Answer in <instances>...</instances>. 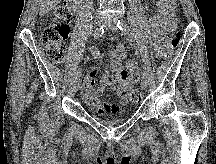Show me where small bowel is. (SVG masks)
<instances>
[{
  "label": "small bowel",
  "instance_id": "small-bowel-1",
  "mask_svg": "<svg viewBox=\"0 0 216 164\" xmlns=\"http://www.w3.org/2000/svg\"><path fill=\"white\" fill-rule=\"evenodd\" d=\"M156 15L152 19V26L155 37V53L158 57L162 55L166 33L175 21V0H156ZM93 58L100 57L96 47L90 48ZM127 57L124 46L120 43L110 54V69L112 71V91L120 96L118 103L102 102L100 98L109 85L108 76L105 75L100 85L93 89L94 73H90L80 83L82 99L91 111L102 115L117 114L124 111L129 102L127 92L134 86L139 75V66L135 59H128L126 66L122 61Z\"/></svg>",
  "mask_w": 216,
  "mask_h": 164
}]
</instances>
